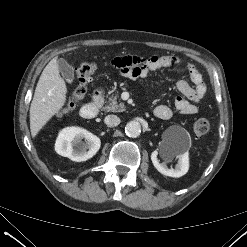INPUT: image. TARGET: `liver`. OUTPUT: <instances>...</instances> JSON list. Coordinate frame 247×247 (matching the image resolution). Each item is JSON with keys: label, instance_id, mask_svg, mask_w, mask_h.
<instances>
[{"label": "liver", "instance_id": "6515ba94", "mask_svg": "<svg viewBox=\"0 0 247 247\" xmlns=\"http://www.w3.org/2000/svg\"><path fill=\"white\" fill-rule=\"evenodd\" d=\"M67 88L59 74L57 59L53 58L44 68L37 83L30 106V131L32 137L58 113L66 103Z\"/></svg>", "mask_w": 247, "mask_h": 247}]
</instances>
